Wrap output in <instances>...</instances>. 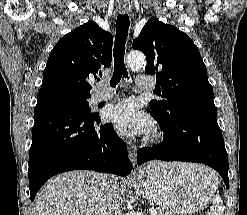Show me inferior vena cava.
Segmentation results:
<instances>
[{"label": "inferior vena cava", "instance_id": "obj_1", "mask_svg": "<svg viewBox=\"0 0 247 215\" xmlns=\"http://www.w3.org/2000/svg\"><path fill=\"white\" fill-rule=\"evenodd\" d=\"M120 190L113 185L108 186V192L106 194L104 215H122L121 209L118 204L120 197Z\"/></svg>", "mask_w": 247, "mask_h": 215}]
</instances>
